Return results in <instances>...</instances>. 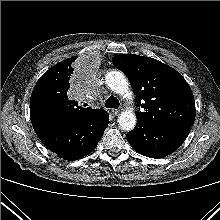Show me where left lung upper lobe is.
Segmentation results:
<instances>
[{"label":"left lung upper lobe","mask_w":220,"mask_h":220,"mask_svg":"<svg viewBox=\"0 0 220 220\" xmlns=\"http://www.w3.org/2000/svg\"><path fill=\"white\" fill-rule=\"evenodd\" d=\"M112 62L127 75L137 106L144 108V112L136 111L138 121L193 125L194 96L180 73L156 59L135 54L116 55Z\"/></svg>","instance_id":"1"}]
</instances>
